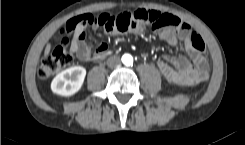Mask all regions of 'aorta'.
I'll return each mask as SVG.
<instances>
[{
    "instance_id": "1",
    "label": "aorta",
    "mask_w": 245,
    "mask_h": 145,
    "mask_svg": "<svg viewBox=\"0 0 245 145\" xmlns=\"http://www.w3.org/2000/svg\"><path fill=\"white\" fill-rule=\"evenodd\" d=\"M121 60H122V63L127 66H130L133 64V57L130 54H124Z\"/></svg>"
}]
</instances>
